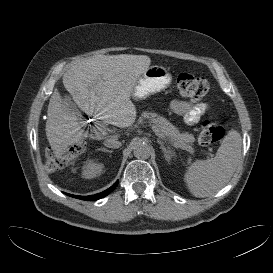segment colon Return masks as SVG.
<instances>
[{"mask_svg":"<svg viewBox=\"0 0 273 273\" xmlns=\"http://www.w3.org/2000/svg\"><path fill=\"white\" fill-rule=\"evenodd\" d=\"M176 86L179 93L192 99H201L210 91V84L207 79L189 73L179 74L176 78ZM225 135V130L212 117H207L201 126L199 133V143L203 147H209L220 142ZM83 143H74L68 151L58 156L53 152H48L47 165L51 171H58L64 168L69 159L79 154L83 150Z\"/></svg>","mask_w":273,"mask_h":273,"instance_id":"5ec220e1","label":"colon"}]
</instances>
